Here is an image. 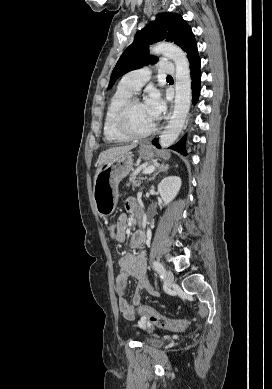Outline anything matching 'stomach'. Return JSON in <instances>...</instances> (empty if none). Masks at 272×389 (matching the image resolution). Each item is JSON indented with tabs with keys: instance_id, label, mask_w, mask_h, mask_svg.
<instances>
[{
	"instance_id": "obj_1",
	"label": "stomach",
	"mask_w": 272,
	"mask_h": 389,
	"mask_svg": "<svg viewBox=\"0 0 272 389\" xmlns=\"http://www.w3.org/2000/svg\"><path fill=\"white\" fill-rule=\"evenodd\" d=\"M142 159L150 160L155 157L156 151L150 145H142L139 149ZM165 159L168 152L160 153ZM133 170V154L124 153L101 165L96 173L93 189V199L96 212L101 217L112 214L118 202L119 182Z\"/></svg>"
}]
</instances>
